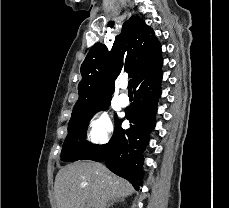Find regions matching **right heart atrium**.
<instances>
[{"instance_id":"1","label":"right heart atrium","mask_w":229,"mask_h":208,"mask_svg":"<svg viewBox=\"0 0 229 208\" xmlns=\"http://www.w3.org/2000/svg\"><path fill=\"white\" fill-rule=\"evenodd\" d=\"M111 137L112 122L108 113L104 110L94 112L87 124V141L95 145H104L111 140Z\"/></svg>"}]
</instances>
